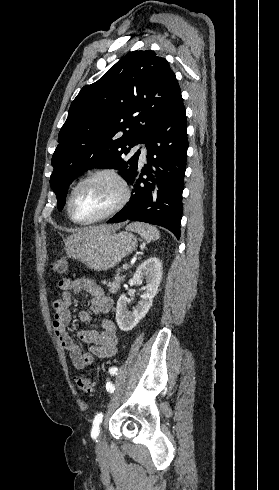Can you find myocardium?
<instances>
[{"label":"myocardium","instance_id":"1","mask_svg":"<svg viewBox=\"0 0 279 490\" xmlns=\"http://www.w3.org/2000/svg\"><path fill=\"white\" fill-rule=\"evenodd\" d=\"M99 177L109 178L117 184L119 188L118 199L108 209H106L104 212H102L101 214L97 215L94 218L88 220L76 219L73 212V203L79 187L84 182ZM129 198H130V188L128 182L118 170L109 167L93 169L85 173L83 176H81L73 185L70 192L69 203H68L69 215L75 223L80 225H87V224L99 222L117 214L126 205Z\"/></svg>","mask_w":279,"mask_h":490}]
</instances>
